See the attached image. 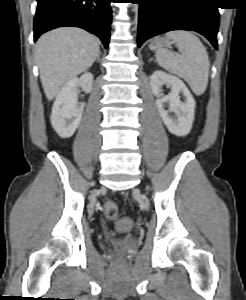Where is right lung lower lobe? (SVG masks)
Listing matches in <instances>:
<instances>
[{"mask_svg":"<svg viewBox=\"0 0 246 300\" xmlns=\"http://www.w3.org/2000/svg\"><path fill=\"white\" fill-rule=\"evenodd\" d=\"M112 0H37L34 41L57 27L75 26L97 35L107 48Z\"/></svg>","mask_w":246,"mask_h":300,"instance_id":"1","label":"right lung lower lobe"}]
</instances>
